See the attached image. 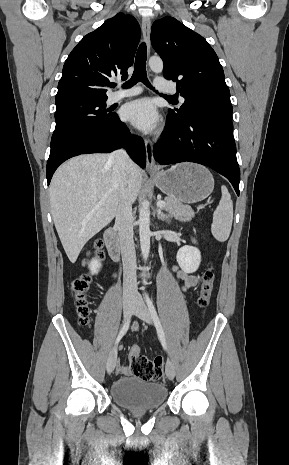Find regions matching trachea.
<instances>
[{
	"label": "trachea",
	"instance_id": "obj_1",
	"mask_svg": "<svg viewBox=\"0 0 289 465\" xmlns=\"http://www.w3.org/2000/svg\"><path fill=\"white\" fill-rule=\"evenodd\" d=\"M146 59H147V48L145 43H141L137 54H136V59H135V66H134V72L129 81H127L123 87L124 88H130L134 86L138 82L144 83L146 86L152 88L150 85L148 79H147V74H146ZM116 84L112 83L111 87H115ZM168 98L175 99L174 96H168L165 95Z\"/></svg>",
	"mask_w": 289,
	"mask_h": 465
}]
</instances>
